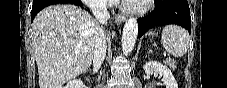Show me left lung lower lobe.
<instances>
[{"label":"left lung lower lobe","instance_id":"1","mask_svg":"<svg viewBox=\"0 0 227 88\" xmlns=\"http://www.w3.org/2000/svg\"><path fill=\"white\" fill-rule=\"evenodd\" d=\"M155 9L138 19L139 38L155 26L177 24L191 32L190 9L187 0H155Z\"/></svg>","mask_w":227,"mask_h":88}]
</instances>
